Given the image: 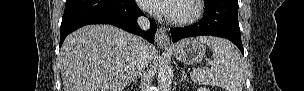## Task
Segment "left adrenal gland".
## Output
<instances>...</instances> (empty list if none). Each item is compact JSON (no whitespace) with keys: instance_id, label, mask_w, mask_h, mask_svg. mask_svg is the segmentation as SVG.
<instances>
[{"instance_id":"a2214340","label":"left adrenal gland","mask_w":304,"mask_h":91,"mask_svg":"<svg viewBox=\"0 0 304 91\" xmlns=\"http://www.w3.org/2000/svg\"><path fill=\"white\" fill-rule=\"evenodd\" d=\"M184 80L189 82V79L187 78L185 71L182 70V76H181L179 82H183Z\"/></svg>"}]
</instances>
